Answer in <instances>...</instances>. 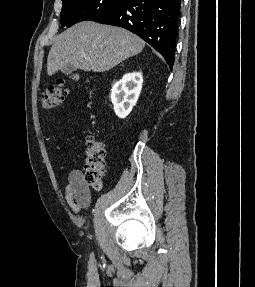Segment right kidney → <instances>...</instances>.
Returning <instances> with one entry per match:
<instances>
[{
  "mask_svg": "<svg viewBox=\"0 0 255 287\" xmlns=\"http://www.w3.org/2000/svg\"><path fill=\"white\" fill-rule=\"evenodd\" d=\"M141 72L125 74L122 80L116 82L111 90V102L118 118H126L135 106L142 88Z\"/></svg>",
  "mask_w": 255,
  "mask_h": 287,
  "instance_id": "ca27d5eb",
  "label": "right kidney"
}]
</instances>
